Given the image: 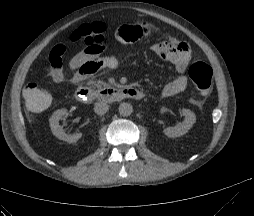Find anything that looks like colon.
I'll use <instances>...</instances> for the list:
<instances>
[{
    "mask_svg": "<svg viewBox=\"0 0 254 216\" xmlns=\"http://www.w3.org/2000/svg\"><path fill=\"white\" fill-rule=\"evenodd\" d=\"M107 26L101 22H93L79 27L73 34L72 41L80 47H92L103 51L108 45ZM188 75L202 95H208L213 84L212 68L205 62L193 60L188 66ZM23 96L28 108L34 112H42L50 104V95L37 83H30Z\"/></svg>",
    "mask_w": 254,
    "mask_h": 216,
    "instance_id": "colon-1",
    "label": "colon"
}]
</instances>
